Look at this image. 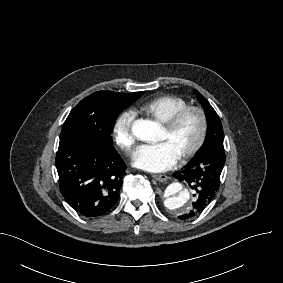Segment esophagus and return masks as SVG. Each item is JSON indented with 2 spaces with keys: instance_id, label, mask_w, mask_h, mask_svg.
<instances>
[{
  "instance_id": "obj_1",
  "label": "esophagus",
  "mask_w": 283,
  "mask_h": 283,
  "mask_svg": "<svg viewBox=\"0 0 283 283\" xmlns=\"http://www.w3.org/2000/svg\"><path fill=\"white\" fill-rule=\"evenodd\" d=\"M152 177L158 181H166L168 179V176L165 174H153Z\"/></svg>"
}]
</instances>
